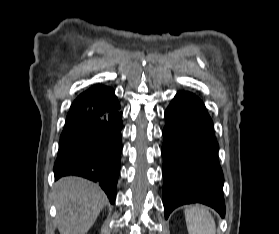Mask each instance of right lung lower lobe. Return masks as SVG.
<instances>
[{
	"mask_svg": "<svg viewBox=\"0 0 279 234\" xmlns=\"http://www.w3.org/2000/svg\"><path fill=\"white\" fill-rule=\"evenodd\" d=\"M121 115L113 89L96 85L81 93L60 136L55 179L78 175L98 182L114 203L122 151Z\"/></svg>",
	"mask_w": 279,
	"mask_h": 234,
	"instance_id": "1",
	"label": "right lung lower lobe"
}]
</instances>
